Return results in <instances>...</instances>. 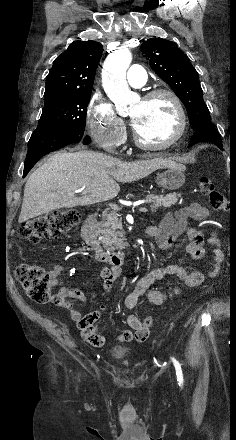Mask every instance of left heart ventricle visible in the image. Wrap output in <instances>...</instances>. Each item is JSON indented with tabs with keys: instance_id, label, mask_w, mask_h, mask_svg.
I'll list each match as a JSON object with an SVG mask.
<instances>
[{
	"instance_id": "left-heart-ventricle-1",
	"label": "left heart ventricle",
	"mask_w": 236,
	"mask_h": 440,
	"mask_svg": "<svg viewBox=\"0 0 236 440\" xmlns=\"http://www.w3.org/2000/svg\"><path fill=\"white\" fill-rule=\"evenodd\" d=\"M134 130L145 142L158 144L169 140L177 129V115L169 98L139 100L130 110Z\"/></svg>"
}]
</instances>
